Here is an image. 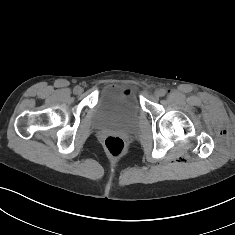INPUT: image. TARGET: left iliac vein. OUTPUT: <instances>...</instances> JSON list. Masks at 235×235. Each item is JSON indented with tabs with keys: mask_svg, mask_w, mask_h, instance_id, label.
I'll list each match as a JSON object with an SVG mask.
<instances>
[{
	"mask_svg": "<svg viewBox=\"0 0 235 235\" xmlns=\"http://www.w3.org/2000/svg\"><path fill=\"white\" fill-rule=\"evenodd\" d=\"M154 96H155V98L161 97V90H156V91L154 92Z\"/></svg>",
	"mask_w": 235,
	"mask_h": 235,
	"instance_id": "4c4485c4",
	"label": "left iliac vein"
}]
</instances>
